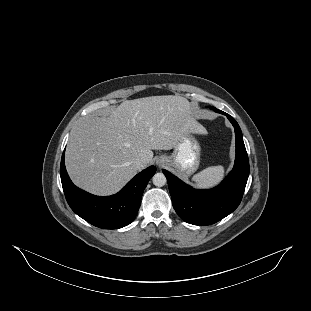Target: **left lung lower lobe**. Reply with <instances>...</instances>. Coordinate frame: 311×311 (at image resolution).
<instances>
[{"label":"left lung lower lobe","instance_id":"1","mask_svg":"<svg viewBox=\"0 0 311 311\" xmlns=\"http://www.w3.org/2000/svg\"><path fill=\"white\" fill-rule=\"evenodd\" d=\"M235 129L236 158L233 170L223 182L211 190H197L163 170L177 214L194 225H210L232 213L240 204L249 175V160L241 129L236 120L225 112Z\"/></svg>","mask_w":311,"mask_h":311}]
</instances>
